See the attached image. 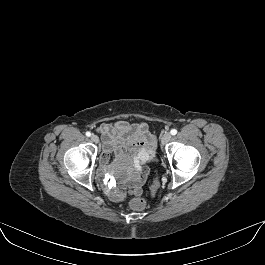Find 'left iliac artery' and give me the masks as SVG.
Segmentation results:
<instances>
[{
	"label": "left iliac artery",
	"mask_w": 265,
	"mask_h": 265,
	"mask_svg": "<svg viewBox=\"0 0 265 265\" xmlns=\"http://www.w3.org/2000/svg\"><path fill=\"white\" fill-rule=\"evenodd\" d=\"M170 133H171V135H176V134H177V130H176V129H172V130L170 131Z\"/></svg>",
	"instance_id": "obj_1"
}]
</instances>
